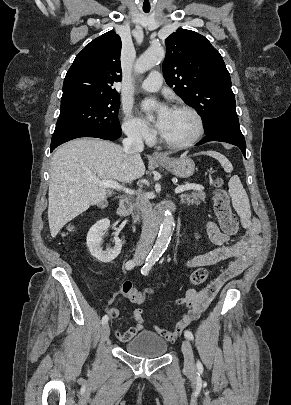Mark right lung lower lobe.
<instances>
[{"label":"right lung lower lobe","mask_w":291,"mask_h":405,"mask_svg":"<svg viewBox=\"0 0 291 405\" xmlns=\"http://www.w3.org/2000/svg\"><path fill=\"white\" fill-rule=\"evenodd\" d=\"M121 136V132L119 133H114V134H106V133H87V134H81L77 135L74 137L67 138L65 140L56 142L55 144L51 145V151H53L57 146L61 145L62 143H65L69 140L75 139V138H80V137H96V138H101L105 140H116Z\"/></svg>","instance_id":"obj_1"}]
</instances>
